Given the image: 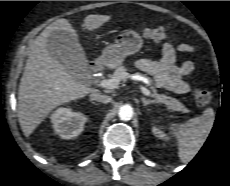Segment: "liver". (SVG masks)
<instances>
[{
    "label": "liver",
    "mask_w": 230,
    "mask_h": 186,
    "mask_svg": "<svg viewBox=\"0 0 230 186\" xmlns=\"http://www.w3.org/2000/svg\"><path fill=\"white\" fill-rule=\"evenodd\" d=\"M111 20L107 15L85 17L83 27L88 31L100 28ZM55 30L77 34L67 19H59L47 26L30 46V54L20 80L17 115L26 137L54 108L86 95L98 92L76 80L48 50V37Z\"/></svg>",
    "instance_id": "obj_1"
}]
</instances>
